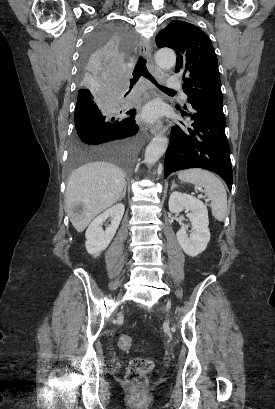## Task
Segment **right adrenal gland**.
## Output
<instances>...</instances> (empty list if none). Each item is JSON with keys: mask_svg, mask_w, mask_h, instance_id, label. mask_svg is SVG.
I'll return each mask as SVG.
<instances>
[{"mask_svg": "<svg viewBox=\"0 0 275 409\" xmlns=\"http://www.w3.org/2000/svg\"><path fill=\"white\" fill-rule=\"evenodd\" d=\"M126 186H127V184H124V190H123V192H122V194H121V196H120L119 200H122V198H125V194H126Z\"/></svg>", "mask_w": 275, "mask_h": 409, "instance_id": "obj_1", "label": "right adrenal gland"}]
</instances>
